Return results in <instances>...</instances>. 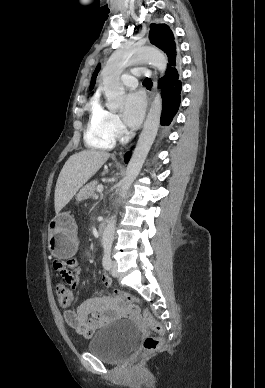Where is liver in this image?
Here are the masks:
<instances>
[{
    "label": "liver",
    "instance_id": "1",
    "mask_svg": "<svg viewBox=\"0 0 265 388\" xmlns=\"http://www.w3.org/2000/svg\"><path fill=\"white\" fill-rule=\"evenodd\" d=\"M109 156L108 152H99V150H83L70 156L59 174L55 188L56 214H59L76 192L100 170Z\"/></svg>",
    "mask_w": 265,
    "mask_h": 388
}]
</instances>
